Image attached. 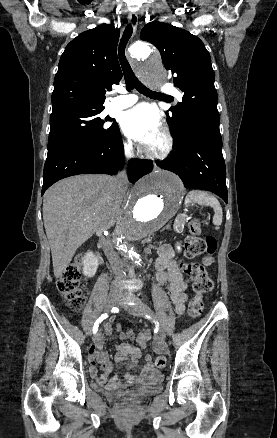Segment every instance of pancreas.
<instances>
[{
  "instance_id": "pancreas-1",
  "label": "pancreas",
  "mask_w": 277,
  "mask_h": 438,
  "mask_svg": "<svg viewBox=\"0 0 277 438\" xmlns=\"http://www.w3.org/2000/svg\"><path fill=\"white\" fill-rule=\"evenodd\" d=\"M187 221H188L187 214H178L174 222L175 224L172 225V232L182 233L184 223H187Z\"/></svg>"
}]
</instances>
